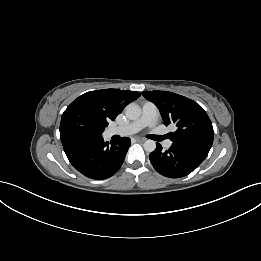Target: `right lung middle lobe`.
Listing matches in <instances>:
<instances>
[{"instance_id":"right-lung-middle-lobe-1","label":"right lung middle lobe","mask_w":261,"mask_h":261,"mask_svg":"<svg viewBox=\"0 0 261 261\" xmlns=\"http://www.w3.org/2000/svg\"><path fill=\"white\" fill-rule=\"evenodd\" d=\"M107 124L84 107L66 109L61 118L60 135L79 134L101 136Z\"/></svg>"}]
</instances>
